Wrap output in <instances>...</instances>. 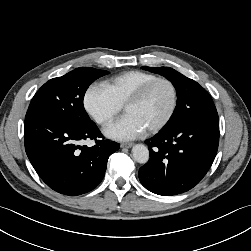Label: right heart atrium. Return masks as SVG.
I'll return each mask as SVG.
<instances>
[{
	"instance_id": "1",
	"label": "right heart atrium",
	"mask_w": 251,
	"mask_h": 251,
	"mask_svg": "<svg viewBox=\"0 0 251 251\" xmlns=\"http://www.w3.org/2000/svg\"><path fill=\"white\" fill-rule=\"evenodd\" d=\"M83 106L87 114L101 126L109 125L122 109L107 89L98 84L86 89Z\"/></svg>"
}]
</instances>
